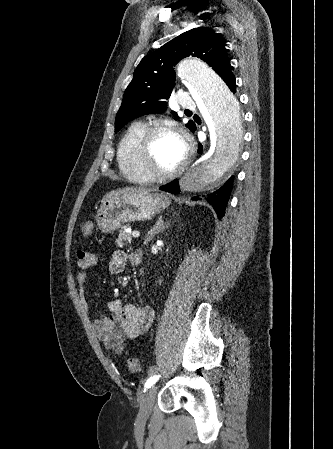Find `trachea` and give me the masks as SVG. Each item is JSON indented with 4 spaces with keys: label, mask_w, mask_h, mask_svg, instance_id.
I'll list each match as a JSON object with an SVG mask.
<instances>
[{
    "label": "trachea",
    "mask_w": 333,
    "mask_h": 449,
    "mask_svg": "<svg viewBox=\"0 0 333 449\" xmlns=\"http://www.w3.org/2000/svg\"><path fill=\"white\" fill-rule=\"evenodd\" d=\"M186 112H190L189 110H185Z\"/></svg>",
    "instance_id": "1"
}]
</instances>
